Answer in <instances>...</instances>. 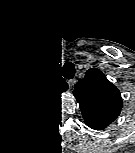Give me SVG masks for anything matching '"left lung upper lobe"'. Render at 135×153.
Instances as JSON below:
<instances>
[{"label":"left lung upper lobe","instance_id":"obj_1","mask_svg":"<svg viewBox=\"0 0 135 153\" xmlns=\"http://www.w3.org/2000/svg\"><path fill=\"white\" fill-rule=\"evenodd\" d=\"M74 94L87 125L104 129L114 121L122 108L119 90L98 69H89L75 85Z\"/></svg>","mask_w":135,"mask_h":153}]
</instances>
